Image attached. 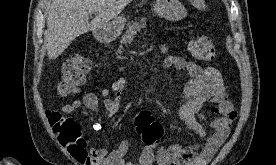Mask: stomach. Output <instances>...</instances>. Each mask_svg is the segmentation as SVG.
<instances>
[{
    "label": "stomach",
    "instance_id": "0dacf381",
    "mask_svg": "<svg viewBox=\"0 0 276 165\" xmlns=\"http://www.w3.org/2000/svg\"><path fill=\"white\" fill-rule=\"evenodd\" d=\"M152 11L159 17L171 21L183 19L186 15V9L179 0H156ZM126 24V19L122 16L116 17L113 21L97 28L93 34L101 42L115 40L122 32Z\"/></svg>",
    "mask_w": 276,
    "mask_h": 165
}]
</instances>
